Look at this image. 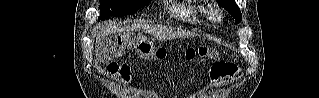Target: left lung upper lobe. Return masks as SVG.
I'll return each mask as SVG.
<instances>
[{"label":"left lung upper lobe","mask_w":319,"mask_h":98,"mask_svg":"<svg viewBox=\"0 0 319 98\" xmlns=\"http://www.w3.org/2000/svg\"><path fill=\"white\" fill-rule=\"evenodd\" d=\"M219 6H222L224 9H226L234 18L235 23L238 24L241 19V11L239 7L236 5L234 0H217Z\"/></svg>","instance_id":"5c2ea615"}]
</instances>
